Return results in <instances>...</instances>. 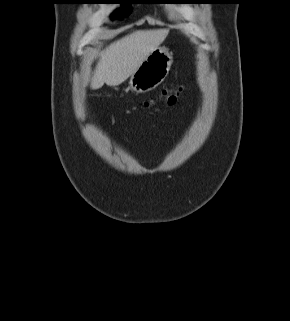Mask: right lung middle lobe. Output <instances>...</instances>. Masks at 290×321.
Wrapping results in <instances>:
<instances>
[{"instance_id":"obj_1","label":"right lung middle lobe","mask_w":290,"mask_h":321,"mask_svg":"<svg viewBox=\"0 0 290 321\" xmlns=\"http://www.w3.org/2000/svg\"><path fill=\"white\" fill-rule=\"evenodd\" d=\"M132 11V9H131V7L130 6H122L121 8H120V10H117L115 13H113V17H119V16H121L122 14V12H131Z\"/></svg>"}]
</instances>
